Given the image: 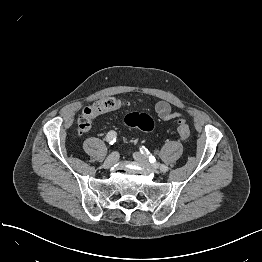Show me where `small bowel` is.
<instances>
[{"label":"small bowel","instance_id":"obj_1","mask_svg":"<svg viewBox=\"0 0 262 262\" xmlns=\"http://www.w3.org/2000/svg\"><path fill=\"white\" fill-rule=\"evenodd\" d=\"M115 99H103L101 101L96 102L95 104L86 107L81 115L82 117H87L90 121L94 119L96 116L111 111L115 108L109 106V103ZM97 108H101V111H98ZM154 110L157 115L163 120H170L179 118L181 115L174 108L164 100H157L154 104ZM90 129V126L86 128L84 131Z\"/></svg>","mask_w":262,"mask_h":262}]
</instances>
